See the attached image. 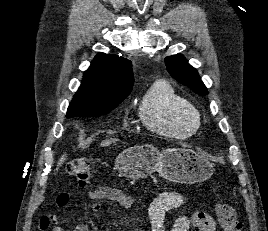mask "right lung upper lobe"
Instances as JSON below:
<instances>
[{
  "instance_id": "obj_1",
  "label": "right lung upper lobe",
  "mask_w": 268,
  "mask_h": 231,
  "mask_svg": "<svg viewBox=\"0 0 268 231\" xmlns=\"http://www.w3.org/2000/svg\"><path fill=\"white\" fill-rule=\"evenodd\" d=\"M133 84L131 61L99 53L85 71L82 85L72 102L87 105L123 101L132 91Z\"/></svg>"
}]
</instances>
